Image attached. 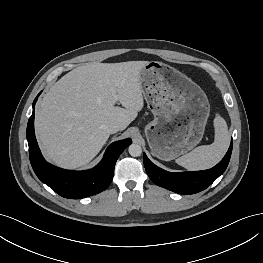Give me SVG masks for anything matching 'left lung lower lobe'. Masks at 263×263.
I'll list each match as a JSON object with an SVG mask.
<instances>
[{"mask_svg":"<svg viewBox=\"0 0 263 263\" xmlns=\"http://www.w3.org/2000/svg\"><path fill=\"white\" fill-rule=\"evenodd\" d=\"M233 143L224 158L213 168L203 171L172 173L153 164L144 154L143 161L150 179L158 186L179 194H195L206 189L226 170L232 152Z\"/></svg>","mask_w":263,"mask_h":263,"instance_id":"0a47b994","label":"left lung lower lobe"}]
</instances>
